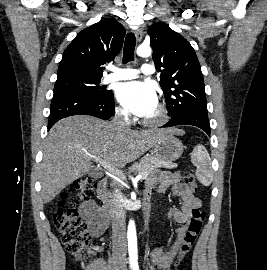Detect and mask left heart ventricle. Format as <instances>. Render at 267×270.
I'll list each match as a JSON object with an SVG mask.
<instances>
[{
    "label": "left heart ventricle",
    "mask_w": 267,
    "mask_h": 270,
    "mask_svg": "<svg viewBox=\"0 0 267 270\" xmlns=\"http://www.w3.org/2000/svg\"><path fill=\"white\" fill-rule=\"evenodd\" d=\"M155 113H156V110L153 112V113H151L148 117H152V116H154L155 115Z\"/></svg>",
    "instance_id": "left-heart-ventricle-1"
}]
</instances>
